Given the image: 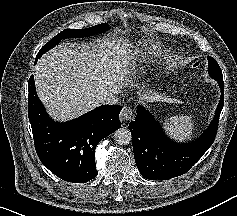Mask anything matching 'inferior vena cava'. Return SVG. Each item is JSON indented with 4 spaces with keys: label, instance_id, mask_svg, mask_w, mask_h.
Listing matches in <instances>:
<instances>
[{
    "label": "inferior vena cava",
    "instance_id": "602c4592",
    "mask_svg": "<svg viewBox=\"0 0 237 216\" xmlns=\"http://www.w3.org/2000/svg\"><path fill=\"white\" fill-rule=\"evenodd\" d=\"M99 99L101 104L107 105H118L121 101L120 91L117 87H108L106 90L102 91Z\"/></svg>",
    "mask_w": 237,
    "mask_h": 216
}]
</instances>
